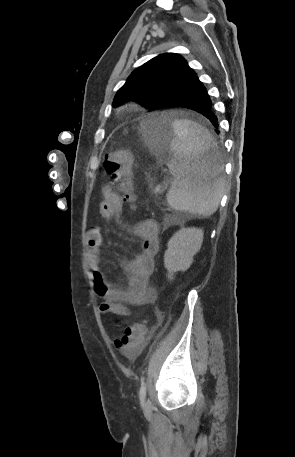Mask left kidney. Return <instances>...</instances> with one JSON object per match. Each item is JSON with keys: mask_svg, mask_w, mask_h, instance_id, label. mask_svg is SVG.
Listing matches in <instances>:
<instances>
[{"mask_svg": "<svg viewBox=\"0 0 295 457\" xmlns=\"http://www.w3.org/2000/svg\"><path fill=\"white\" fill-rule=\"evenodd\" d=\"M203 230L182 228L177 231L167 244L164 264L168 277L177 271H186L193 262V256L200 250L203 242Z\"/></svg>", "mask_w": 295, "mask_h": 457, "instance_id": "1", "label": "left kidney"}]
</instances>
